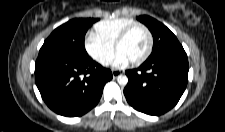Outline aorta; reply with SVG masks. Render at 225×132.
<instances>
[{
  "label": "aorta",
  "mask_w": 225,
  "mask_h": 132,
  "mask_svg": "<svg viewBox=\"0 0 225 132\" xmlns=\"http://www.w3.org/2000/svg\"><path fill=\"white\" fill-rule=\"evenodd\" d=\"M117 82H118L120 85L125 86V85H127V83H128V78H127V76H125V75H119V76L117 77Z\"/></svg>",
  "instance_id": "1"
}]
</instances>
